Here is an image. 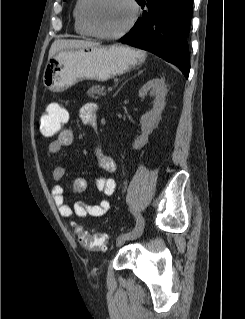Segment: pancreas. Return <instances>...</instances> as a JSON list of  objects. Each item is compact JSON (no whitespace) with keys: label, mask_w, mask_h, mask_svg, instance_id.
Returning <instances> with one entry per match:
<instances>
[{"label":"pancreas","mask_w":245,"mask_h":319,"mask_svg":"<svg viewBox=\"0 0 245 319\" xmlns=\"http://www.w3.org/2000/svg\"><path fill=\"white\" fill-rule=\"evenodd\" d=\"M88 96H90L93 99H98L100 96L106 95L105 87L100 85H93L88 91Z\"/></svg>","instance_id":"obj_1"}]
</instances>
